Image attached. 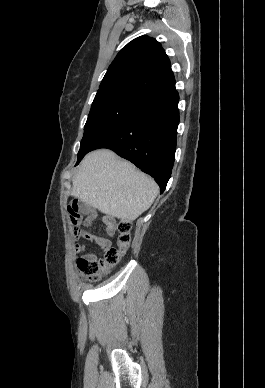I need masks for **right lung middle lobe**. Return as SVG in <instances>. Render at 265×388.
I'll list each match as a JSON object with an SVG mask.
<instances>
[{
    "label": "right lung middle lobe",
    "mask_w": 265,
    "mask_h": 388,
    "mask_svg": "<svg viewBox=\"0 0 265 388\" xmlns=\"http://www.w3.org/2000/svg\"><path fill=\"white\" fill-rule=\"evenodd\" d=\"M146 100L126 92H97L84 127L78 161L100 139L135 113Z\"/></svg>",
    "instance_id": "1"
}]
</instances>
